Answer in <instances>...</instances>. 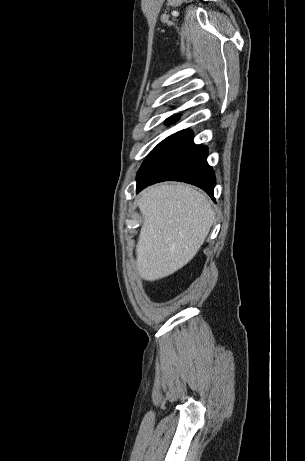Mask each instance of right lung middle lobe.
Segmentation results:
<instances>
[{
  "label": "right lung middle lobe",
  "instance_id": "1",
  "mask_svg": "<svg viewBox=\"0 0 305 461\" xmlns=\"http://www.w3.org/2000/svg\"><path fill=\"white\" fill-rule=\"evenodd\" d=\"M178 119H179V116H175V117H171V118L167 119L166 122H167L168 124H172V123H174L175 121H177ZM159 144H160V143H159ZM159 144H158V145H159ZM158 145H157V146H158ZM157 146H156V147H157Z\"/></svg>",
  "mask_w": 305,
  "mask_h": 461
}]
</instances>
